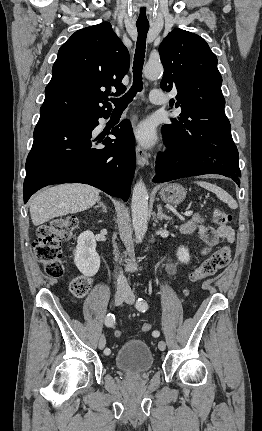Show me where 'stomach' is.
<instances>
[{
  "label": "stomach",
  "mask_w": 262,
  "mask_h": 431,
  "mask_svg": "<svg viewBox=\"0 0 262 431\" xmlns=\"http://www.w3.org/2000/svg\"><path fill=\"white\" fill-rule=\"evenodd\" d=\"M161 199L166 203L179 204L186 197V190L179 184H166L160 190Z\"/></svg>",
  "instance_id": "0dacf381"
}]
</instances>
